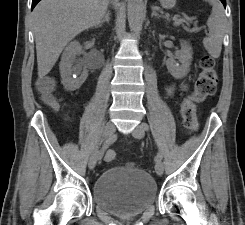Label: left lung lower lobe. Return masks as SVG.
Segmentation results:
<instances>
[{"instance_id":"1","label":"left lung lower lobe","mask_w":245,"mask_h":225,"mask_svg":"<svg viewBox=\"0 0 245 225\" xmlns=\"http://www.w3.org/2000/svg\"><path fill=\"white\" fill-rule=\"evenodd\" d=\"M220 1L223 3L224 7H226V0H220Z\"/></svg>"}]
</instances>
